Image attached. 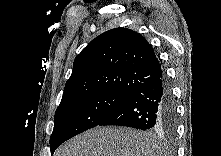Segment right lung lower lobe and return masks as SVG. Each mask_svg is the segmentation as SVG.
I'll use <instances>...</instances> for the list:
<instances>
[{
    "mask_svg": "<svg viewBox=\"0 0 221 156\" xmlns=\"http://www.w3.org/2000/svg\"><path fill=\"white\" fill-rule=\"evenodd\" d=\"M176 120L174 98L162 73L130 96L99 126L120 125L141 130L173 132Z\"/></svg>",
    "mask_w": 221,
    "mask_h": 156,
    "instance_id": "1",
    "label": "right lung lower lobe"
}]
</instances>
